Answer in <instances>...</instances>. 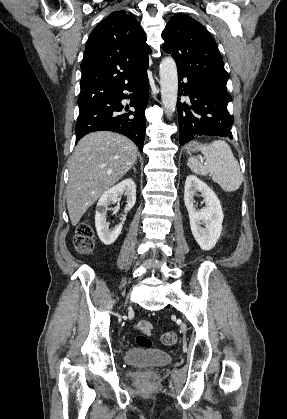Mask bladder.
Here are the masks:
<instances>
[{
	"label": "bladder",
	"instance_id": "obj_1",
	"mask_svg": "<svg viewBox=\"0 0 287 419\" xmlns=\"http://www.w3.org/2000/svg\"><path fill=\"white\" fill-rule=\"evenodd\" d=\"M171 360V356L167 353L143 347H129L124 355V361L128 365L138 368L167 365Z\"/></svg>",
	"mask_w": 287,
	"mask_h": 419
}]
</instances>
